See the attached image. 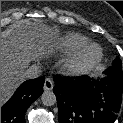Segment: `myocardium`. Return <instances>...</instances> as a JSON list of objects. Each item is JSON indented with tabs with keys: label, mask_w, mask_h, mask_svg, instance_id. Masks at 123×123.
I'll use <instances>...</instances> for the list:
<instances>
[{
	"label": "myocardium",
	"mask_w": 123,
	"mask_h": 123,
	"mask_svg": "<svg viewBox=\"0 0 123 123\" xmlns=\"http://www.w3.org/2000/svg\"><path fill=\"white\" fill-rule=\"evenodd\" d=\"M102 49L95 43H88L71 54L64 62V71L71 76L89 73L102 59Z\"/></svg>",
	"instance_id": "myocardium-1"
}]
</instances>
